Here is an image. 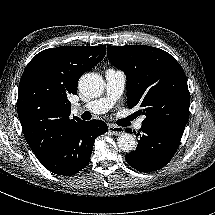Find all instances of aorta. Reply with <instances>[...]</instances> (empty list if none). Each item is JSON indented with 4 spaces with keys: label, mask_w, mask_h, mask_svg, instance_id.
Here are the masks:
<instances>
[{
    "label": "aorta",
    "mask_w": 215,
    "mask_h": 215,
    "mask_svg": "<svg viewBox=\"0 0 215 215\" xmlns=\"http://www.w3.org/2000/svg\"><path fill=\"white\" fill-rule=\"evenodd\" d=\"M79 88L84 96L97 97L103 91V79L96 74H84L79 80ZM117 146L121 151L130 153L136 149V139L132 134L123 133L117 138Z\"/></svg>",
    "instance_id": "obj_1"
}]
</instances>
